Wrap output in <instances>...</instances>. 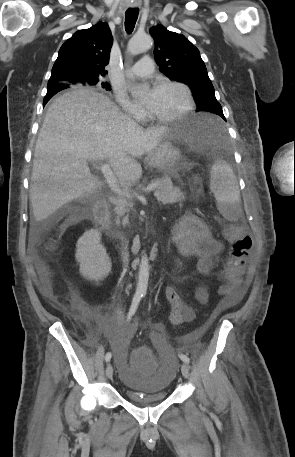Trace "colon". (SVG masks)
Wrapping results in <instances>:
<instances>
[{
  "instance_id": "1",
  "label": "colon",
  "mask_w": 295,
  "mask_h": 457,
  "mask_svg": "<svg viewBox=\"0 0 295 457\" xmlns=\"http://www.w3.org/2000/svg\"><path fill=\"white\" fill-rule=\"evenodd\" d=\"M223 234L230 246L222 272V277L228 281L227 292L239 284L246 258L252 247V238L245 233L241 225L235 224L226 225ZM152 354V346H133L130 360L131 372H155L156 360Z\"/></svg>"
}]
</instances>
